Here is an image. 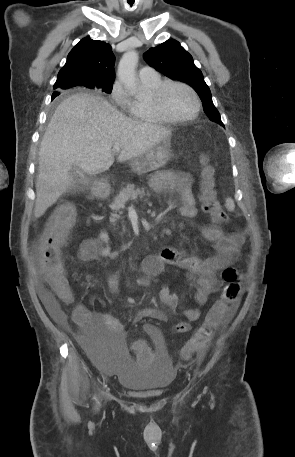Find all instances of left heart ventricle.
<instances>
[{"label": "left heart ventricle", "instance_id": "1", "mask_svg": "<svg viewBox=\"0 0 295 457\" xmlns=\"http://www.w3.org/2000/svg\"><path fill=\"white\" fill-rule=\"evenodd\" d=\"M164 104L166 111L174 117L188 116L195 108V102L191 93L179 86L168 88L164 96Z\"/></svg>", "mask_w": 295, "mask_h": 457}]
</instances>
